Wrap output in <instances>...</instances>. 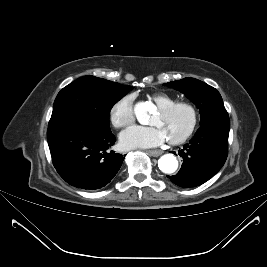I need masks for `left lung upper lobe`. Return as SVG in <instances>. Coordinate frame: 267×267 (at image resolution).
I'll list each match as a JSON object with an SVG mask.
<instances>
[{
  "label": "left lung upper lobe",
  "mask_w": 267,
  "mask_h": 267,
  "mask_svg": "<svg viewBox=\"0 0 267 267\" xmlns=\"http://www.w3.org/2000/svg\"><path fill=\"white\" fill-rule=\"evenodd\" d=\"M167 85L186 95L199 108L200 125L214 122H229L219 92L212 86L195 78H184L167 83Z\"/></svg>",
  "instance_id": "1"
}]
</instances>
